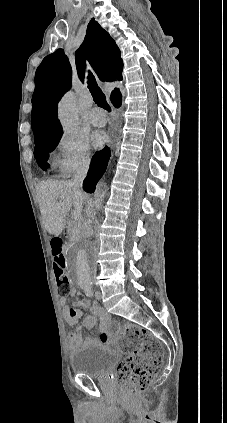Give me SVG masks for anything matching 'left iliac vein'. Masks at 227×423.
I'll list each match as a JSON object with an SVG mask.
<instances>
[{
  "mask_svg": "<svg viewBox=\"0 0 227 423\" xmlns=\"http://www.w3.org/2000/svg\"><path fill=\"white\" fill-rule=\"evenodd\" d=\"M95 297H96L98 300H101V299H102V294H101V292H100L99 290L95 292Z\"/></svg>",
  "mask_w": 227,
  "mask_h": 423,
  "instance_id": "left-iliac-vein-1",
  "label": "left iliac vein"
}]
</instances>
